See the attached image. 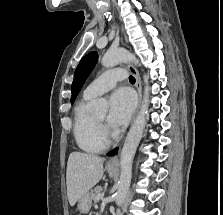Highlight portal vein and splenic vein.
Masks as SVG:
<instances>
[{
	"label": "portal vein and splenic vein",
	"instance_id": "1",
	"mask_svg": "<svg viewBox=\"0 0 223 215\" xmlns=\"http://www.w3.org/2000/svg\"><path fill=\"white\" fill-rule=\"evenodd\" d=\"M98 197H101V193H100V194H98Z\"/></svg>",
	"mask_w": 223,
	"mask_h": 215
}]
</instances>
